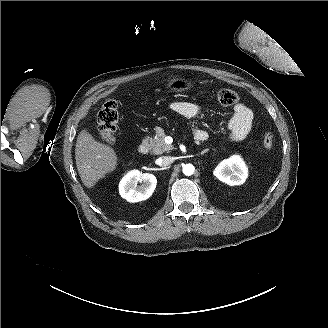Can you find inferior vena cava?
<instances>
[{"instance_id":"602c4592","label":"inferior vena cava","mask_w":328,"mask_h":328,"mask_svg":"<svg viewBox=\"0 0 328 328\" xmlns=\"http://www.w3.org/2000/svg\"><path fill=\"white\" fill-rule=\"evenodd\" d=\"M173 158L171 156H162L158 159V165L161 167L169 166L173 163Z\"/></svg>"}]
</instances>
